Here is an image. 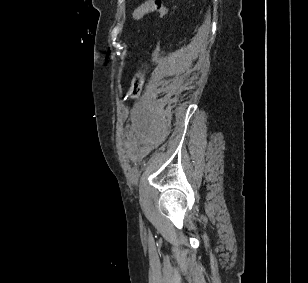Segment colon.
<instances>
[{"instance_id":"5ec220e1","label":"colon","mask_w":308,"mask_h":283,"mask_svg":"<svg viewBox=\"0 0 308 283\" xmlns=\"http://www.w3.org/2000/svg\"><path fill=\"white\" fill-rule=\"evenodd\" d=\"M158 12L162 17L166 14V8L161 0H148L140 5L133 13V21L140 20L145 14L149 12ZM145 81V73L138 72L132 79L131 85L127 92L126 98L128 100H135L140 95Z\"/></svg>"}]
</instances>
